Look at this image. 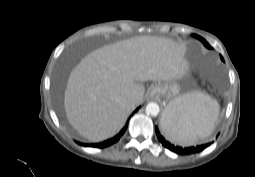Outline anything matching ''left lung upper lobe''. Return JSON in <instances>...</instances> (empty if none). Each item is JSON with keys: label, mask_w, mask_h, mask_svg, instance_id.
Wrapping results in <instances>:
<instances>
[{"label": "left lung upper lobe", "mask_w": 255, "mask_h": 177, "mask_svg": "<svg viewBox=\"0 0 255 177\" xmlns=\"http://www.w3.org/2000/svg\"><path fill=\"white\" fill-rule=\"evenodd\" d=\"M194 37H196L197 39H199V40L204 44V46H205L206 48L212 49V47L208 44V42H207L205 39H203L202 37H200V36H198V35H194ZM221 59L223 60V57H222V56H221Z\"/></svg>", "instance_id": "obj_1"}]
</instances>
